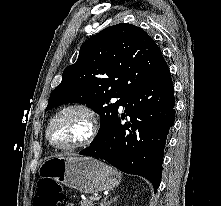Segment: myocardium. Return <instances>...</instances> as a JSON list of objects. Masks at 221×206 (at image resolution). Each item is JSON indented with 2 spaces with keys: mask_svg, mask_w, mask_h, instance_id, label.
Listing matches in <instances>:
<instances>
[{
  "mask_svg": "<svg viewBox=\"0 0 221 206\" xmlns=\"http://www.w3.org/2000/svg\"><path fill=\"white\" fill-rule=\"evenodd\" d=\"M79 113L82 116L85 117L86 123H87V129L84 134V136L72 143L68 144H56L52 141L51 138V129L54 125V123L60 119L62 116L68 114V113ZM98 131V120L96 117L95 112L91 107L84 103H71L68 104L61 109H59L57 112L53 114V116L50 118L47 127H46V138L51 146H53L56 149L59 150H77L87 147L92 143L94 138L96 137Z\"/></svg>",
  "mask_w": 221,
  "mask_h": 206,
  "instance_id": "1",
  "label": "myocardium"
}]
</instances>
